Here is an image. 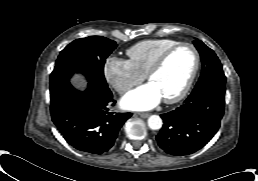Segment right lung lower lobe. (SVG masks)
Segmentation results:
<instances>
[{
  "label": "right lung lower lobe",
  "mask_w": 258,
  "mask_h": 181,
  "mask_svg": "<svg viewBox=\"0 0 258 181\" xmlns=\"http://www.w3.org/2000/svg\"><path fill=\"white\" fill-rule=\"evenodd\" d=\"M73 73L54 68L50 76L51 117L65 140L75 149L91 154L107 152L132 113H113L116 101L107 85L89 82L84 92L70 84Z\"/></svg>",
  "instance_id": "98d812e1"
}]
</instances>
